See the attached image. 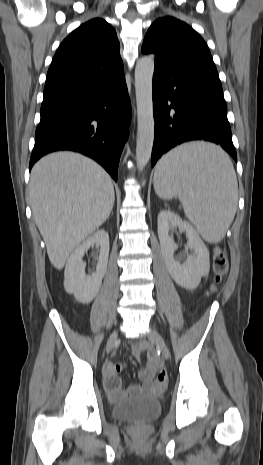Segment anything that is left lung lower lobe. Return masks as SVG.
I'll return each instance as SVG.
<instances>
[{
  "mask_svg": "<svg viewBox=\"0 0 263 465\" xmlns=\"http://www.w3.org/2000/svg\"><path fill=\"white\" fill-rule=\"evenodd\" d=\"M153 112L152 166L171 148L192 140L219 144L237 162L227 105L218 77L155 63Z\"/></svg>",
  "mask_w": 263,
  "mask_h": 465,
  "instance_id": "obj_1",
  "label": "left lung lower lobe"
}]
</instances>
